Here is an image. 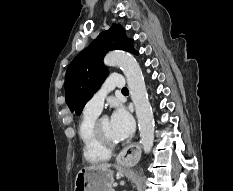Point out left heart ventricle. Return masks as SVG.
Masks as SVG:
<instances>
[{
  "instance_id": "obj_1",
  "label": "left heart ventricle",
  "mask_w": 233,
  "mask_h": 191,
  "mask_svg": "<svg viewBox=\"0 0 233 191\" xmlns=\"http://www.w3.org/2000/svg\"><path fill=\"white\" fill-rule=\"evenodd\" d=\"M100 126H101V130L105 134V136H107L108 138H110L112 140H116L113 136L111 123H110L109 119H106V118L102 119Z\"/></svg>"
}]
</instances>
